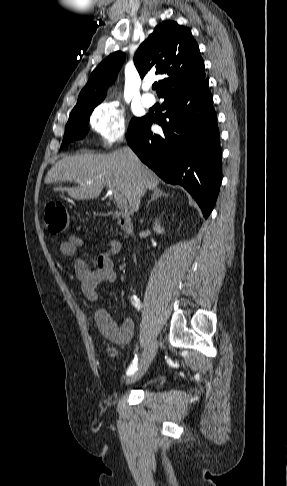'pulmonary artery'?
I'll return each mask as SVG.
<instances>
[{
    "label": "pulmonary artery",
    "instance_id": "obj_1",
    "mask_svg": "<svg viewBox=\"0 0 287 486\" xmlns=\"http://www.w3.org/2000/svg\"><path fill=\"white\" fill-rule=\"evenodd\" d=\"M149 85L144 86L145 93L141 97V102L145 107H152L155 104V98L152 94L147 93Z\"/></svg>",
    "mask_w": 287,
    "mask_h": 486
}]
</instances>
